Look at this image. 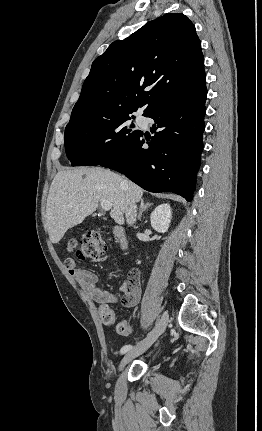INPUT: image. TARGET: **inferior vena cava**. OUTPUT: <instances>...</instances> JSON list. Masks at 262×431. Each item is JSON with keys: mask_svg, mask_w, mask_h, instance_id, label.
I'll use <instances>...</instances> for the list:
<instances>
[{"mask_svg": "<svg viewBox=\"0 0 262 431\" xmlns=\"http://www.w3.org/2000/svg\"><path fill=\"white\" fill-rule=\"evenodd\" d=\"M137 205L132 199H129L125 206L126 221L129 225L134 224L136 221Z\"/></svg>", "mask_w": 262, "mask_h": 431, "instance_id": "obj_1", "label": "inferior vena cava"}]
</instances>
